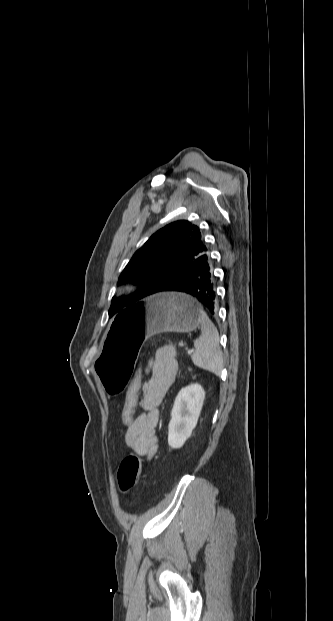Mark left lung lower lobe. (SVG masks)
I'll return each mask as SVG.
<instances>
[{"label":"left lung lower lobe","mask_w":333,"mask_h":621,"mask_svg":"<svg viewBox=\"0 0 333 621\" xmlns=\"http://www.w3.org/2000/svg\"><path fill=\"white\" fill-rule=\"evenodd\" d=\"M187 293L202 303L210 313L216 312V293L209 250L203 251L188 269L173 277L159 292Z\"/></svg>","instance_id":"obj_1"}]
</instances>
